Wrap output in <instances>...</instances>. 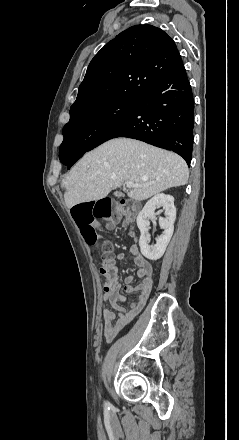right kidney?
Segmentation results:
<instances>
[{
  "instance_id": "obj_1",
  "label": "right kidney",
  "mask_w": 239,
  "mask_h": 440,
  "mask_svg": "<svg viewBox=\"0 0 239 440\" xmlns=\"http://www.w3.org/2000/svg\"><path fill=\"white\" fill-rule=\"evenodd\" d=\"M162 208L166 218H159V226L164 232L156 238V244H150L148 238L149 220L155 218V210ZM176 220V208L174 206L173 196L168 194H156L151 200H148L143 210L137 216V226L141 232L139 246H142L144 257H153L155 260L160 258V253L164 252V248L170 247V240L174 232V222Z\"/></svg>"
}]
</instances>
